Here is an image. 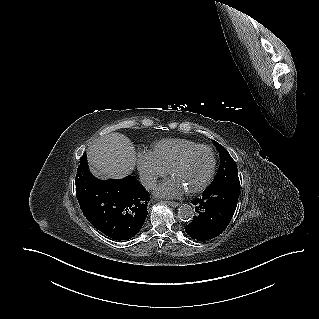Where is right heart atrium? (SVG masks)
I'll return each instance as SVG.
<instances>
[{"mask_svg":"<svg viewBox=\"0 0 319 319\" xmlns=\"http://www.w3.org/2000/svg\"><path fill=\"white\" fill-rule=\"evenodd\" d=\"M137 168L142 184L146 188L153 187L156 182L164 177L167 170L162 168L149 154V152H140L137 155Z\"/></svg>","mask_w":319,"mask_h":319,"instance_id":"1","label":"right heart atrium"}]
</instances>
